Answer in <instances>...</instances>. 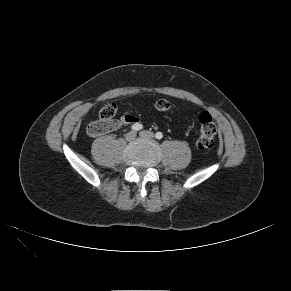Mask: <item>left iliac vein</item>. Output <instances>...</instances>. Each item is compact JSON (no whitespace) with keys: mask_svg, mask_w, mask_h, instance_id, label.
Instances as JSON below:
<instances>
[{"mask_svg":"<svg viewBox=\"0 0 291 291\" xmlns=\"http://www.w3.org/2000/svg\"><path fill=\"white\" fill-rule=\"evenodd\" d=\"M139 135L144 138H154V134L147 130L141 131Z\"/></svg>","mask_w":291,"mask_h":291,"instance_id":"left-iliac-vein-1","label":"left iliac vein"}]
</instances>
